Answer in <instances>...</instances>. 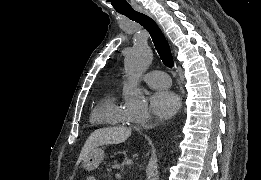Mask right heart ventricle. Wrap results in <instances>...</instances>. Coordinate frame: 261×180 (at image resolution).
<instances>
[{
  "instance_id": "1",
  "label": "right heart ventricle",
  "mask_w": 261,
  "mask_h": 180,
  "mask_svg": "<svg viewBox=\"0 0 261 180\" xmlns=\"http://www.w3.org/2000/svg\"><path fill=\"white\" fill-rule=\"evenodd\" d=\"M121 109L119 98L116 92H110L97 101L91 113L90 121H103V126L95 127H124L120 122Z\"/></svg>"
}]
</instances>
